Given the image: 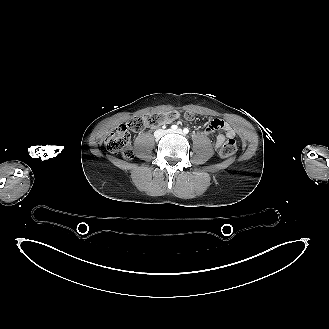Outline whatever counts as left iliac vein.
Here are the masks:
<instances>
[{"instance_id": "left-iliac-vein-1", "label": "left iliac vein", "mask_w": 329, "mask_h": 329, "mask_svg": "<svg viewBox=\"0 0 329 329\" xmlns=\"http://www.w3.org/2000/svg\"><path fill=\"white\" fill-rule=\"evenodd\" d=\"M171 132H174V133H177V134H183V131L181 129H177V130H174V131H171Z\"/></svg>"}]
</instances>
